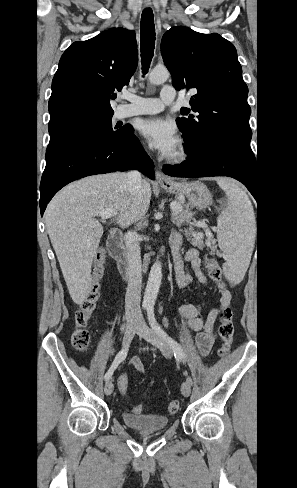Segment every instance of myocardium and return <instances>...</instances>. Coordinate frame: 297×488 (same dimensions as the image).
<instances>
[{
    "label": "myocardium",
    "instance_id": "f54148a6",
    "mask_svg": "<svg viewBox=\"0 0 297 488\" xmlns=\"http://www.w3.org/2000/svg\"><path fill=\"white\" fill-rule=\"evenodd\" d=\"M188 157V149L185 143L181 142L175 152L168 157V162L179 164L184 162Z\"/></svg>",
    "mask_w": 297,
    "mask_h": 488
}]
</instances>
